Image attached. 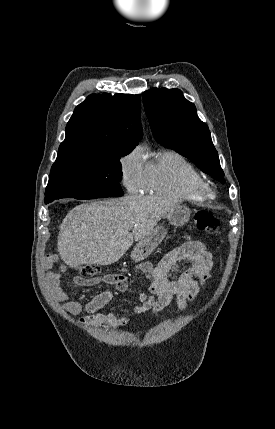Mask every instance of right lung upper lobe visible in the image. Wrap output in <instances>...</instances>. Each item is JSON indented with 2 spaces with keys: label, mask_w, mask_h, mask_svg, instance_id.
I'll return each mask as SVG.
<instances>
[{
  "label": "right lung upper lobe",
  "mask_w": 275,
  "mask_h": 429,
  "mask_svg": "<svg viewBox=\"0 0 275 429\" xmlns=\"http://www.w3.org/2000/svg\"><path fill=\"white\" fill-rule=\"evenodd\" d=\"M138 95L91 94L66 126L58 156L131 152L142 138Z\"/></svg>",
  "instance_id": "cb5924a9"
}]
</instances>
